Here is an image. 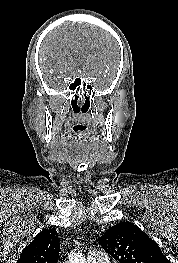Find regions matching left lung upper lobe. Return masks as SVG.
<instances>
[{"label":"left lung upper lobe","instance_id":"obj_1","mask_svg":"<svg viewBox=\"0 0 178 263\" xmlns=\"http://www.w3.org/2000/svg\"><path fill=\"white\" fill-rule=\"evenodd\" d=\"M98 240L120 263H170L158 244L131 222L111 227Z\"/></svg>","mask_w":178,"mask_h":263}]
</instances>
